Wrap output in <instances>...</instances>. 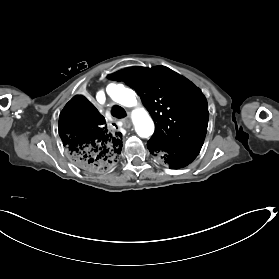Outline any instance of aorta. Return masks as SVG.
<instances>
[{
  "label": "aorta",
  "mask_w": 279,
  "mask_h": 279,
  "mask_svg": "<svg viewBox=\"0 0 279 279\" xmlns=\"http://www.w3.org/2000/svg\"><path fill=\"white\" fill-rule=\"evenodd\" d=\"M107 93L113 101L125 107H134L137 105L135 93L121 84L109 85L107 87ZM132 121L138 136L147 138L154 133V122L144 108L133 111Z\"/></svg>",
  "instance_id": "1"
}]
</instances>
